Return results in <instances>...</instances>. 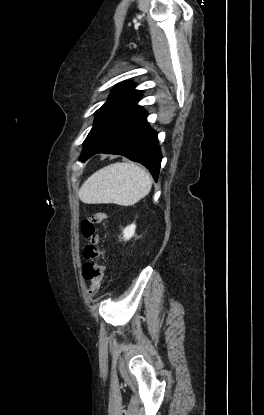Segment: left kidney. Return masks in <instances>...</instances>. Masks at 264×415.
<instances>
[{"label": "left kidney", "mask_w": 264, "mask_h": 415, "mask_svg": "<svg viewBox=\"0 0 264 415\" xmlns=\"http://www.w3.org/2000/svg\"><path fill=\"white\" fill-rule=\"evenodd\" d=\"M135 229H136L135 224H131V225L127 226L123 230V239L126 241V240H129L131 237H133V235L135 233Z\"/></svg>", "instance_id": "1"}]
</instances>
